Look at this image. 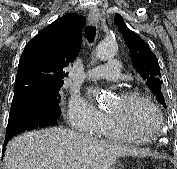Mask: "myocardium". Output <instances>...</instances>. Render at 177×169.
<instances>
[{
	"label": "myocardium",
	"mask_w": 177,
	"mask_h": 169,
	"mask_svg": "<svg viewBox=\"0 0 177 169\" xmlns=\"http://www.w3.org/2000/svg\"><path fill=\"white\" fill-rule=\"evenodd\" d=\"M120 97L123 101L129 102V103L135 102V101L145 103L157 114V116L160 120V127L154 133L149 134V135H143V136H134V135H131L127 132V129L124 124V120L120 116L109 113V118L111 119V121L113 122V124L115 125L117 130L126 139L138 141V142L152 141V140L156 139L163 132L164 126H165L164 116H163L160 108L157 106V104L148 95H146L145 93H143L137 89H128V90L121 92Z\"/></svg>",
	"instance_id": "obj_1"
}]
</instances>
